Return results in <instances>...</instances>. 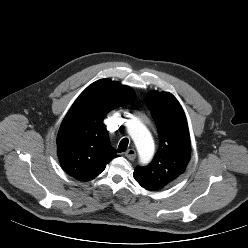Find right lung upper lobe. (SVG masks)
<instances>
[{
	"label": "right lung upper lobe",
	"instance_id": "cb5924a9",
	"mask_svg": "<svg viewBox=\"0 0 248 248\" xmlns=\"http://www.w3.org/2000/svg\"><path fill=\"white\" fill-rule=\"evenodd\" d=\"M135 99L133 90L119 82L100 79L88 86L66 114L57 136L58 156L65 172L79 181L98 176L113 158L103 119L110 109Z\"/></svg>",
	"mask_w": 248,
	"mask_h": 248
}]
</instances>
